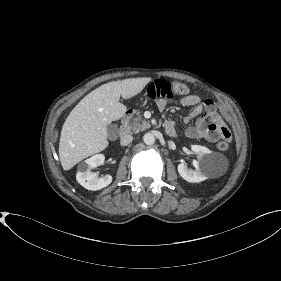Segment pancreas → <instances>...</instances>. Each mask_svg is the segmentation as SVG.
Here are the masks:
<instances>
[{"mask_svg":"<svg viewBox=\"0 0 281 281\" xmlns=\"http://www.w3.org/2000/svg\"><path fill=\"white\" fill-rule=\"evenodd\" d=\"M128 130L133 131L134 133H138L140 131H144L150 127L148 121H146L142 116L138 115L137 117L129 120L127 122Z\"/></svg>","mask_w":281,"mask_h":281,"instance_id":"1","label":"pancreas"}]
</instances>
